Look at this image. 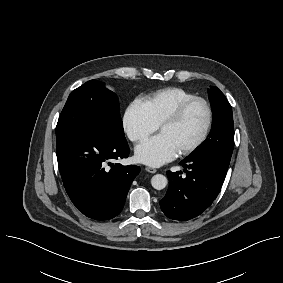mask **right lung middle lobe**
Wrapping results in <instances>:
<instances>
[{
    "label": "right lung middle lobe",
    "mask_w": 283,
    "mask_h": 283,
    "mask_svg": "<svg viewBox=\"0 0 283 283\" xmlns=\"http://www.w3.org/2000/svg\"><path fill=\"white\" fill-rule=\"evenodd\" d=\"M84 126H99L124 137L119 100L102 82L90 80L69 95L56 126V139Z\"/></svg>",
    "instance_id": "1"
}]
</instances>
